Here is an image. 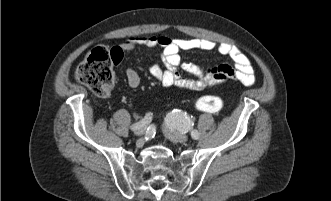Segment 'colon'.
<instances>
[{"instance_id": "1", "label": "colon", "mask_w": 331, "mask_h": 201, "mask_svg": "<svg viewBox=\"0 0 331 201\" xmlns=\"http://www.w3.org/2000/svg\"><path fill=\"white\" fill-rule=\"evenodd\" d=\"M115 62L112 51L103 47H95L76 68L75 79L89 87L94 94L107 96L111 93L115 83ZM195 106L206 113H219L223 110L225 103L219 96L207 95L198 98Z\"/></svg>"}]
</instances>
